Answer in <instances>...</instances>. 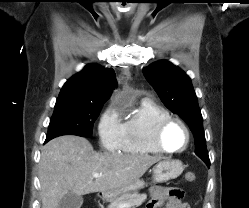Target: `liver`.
Segmentation results:
<instances>
[{"mask_svg": "<svg viewBox=\"0 0 249 208\" xmlns=\"http://www.w3.org/2000/svg\"><path fill=\"white\" fill-rule=\"evenodd\" d=\"M161 157L97 153L79 136L64 135L49 141L39 162L42 208H58L68 193L86 195L126 188L137 182ZM101 174L94 178L93 174Z\"/></svg>", "mask_w": 249, "mask_h": 208, "instance_id": "6515ba94", "label": "liver"}]
</instances>
